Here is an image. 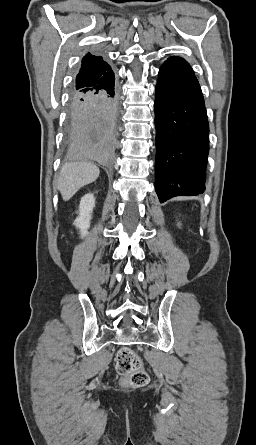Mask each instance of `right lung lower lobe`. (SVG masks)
Listing matches in <instances>:
<instances>
[{
    "label": "right lung lower lobe",
    "instance_id": "1",
    "mask_svg": "<svg viewBox=\"0 0 256 445\" xmlns=\"http://www.w3.org/2000/svg\"><path fill=\"white\" fill-rule=\"evenodd\" d=\"M115 75L96 88L72 93L68 127L69 154L109 164L113 160L118 99Z\"/></svg>",
    "mask_w": 256,
    "mask_h": 445
}]
</instances>
